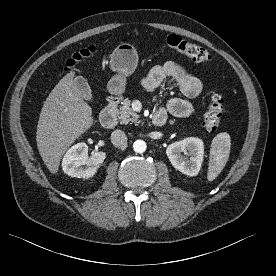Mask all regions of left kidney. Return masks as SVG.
<instances>
[{"mask_svg": "<svg viewBox=\"0 0 276 276\" xmlns=\"http://www.w3.org/2000/svg\"><path fill=\"white\" fill-rule=\"evenodd\" d=\"M166 154L175 169L185 175L196 176L203 162L204 144L199 138L188 137L170 144Z\"/></svg>", "mask_w": 276, "mask_h": 276, "instance_id": "1", "label": "left kidney"}]
</instances>
